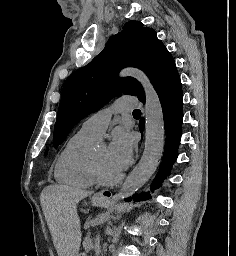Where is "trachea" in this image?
Here are the masks:
<instances>
[{"mask_svg":"<svg viewBox=\"0 0 236 256\" xmlns=\"http://www.w3.org/2000/svg\"><path fill=\"white\" fill-rule=\"evenodd\" d=\"M137 113H141V111L140 110H134L133 111V114H137Z\"/></svg>","mask_w":236,"mask_h":256,"instance_id":"1","label":"trachea"}]
</instances>
